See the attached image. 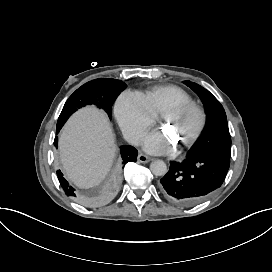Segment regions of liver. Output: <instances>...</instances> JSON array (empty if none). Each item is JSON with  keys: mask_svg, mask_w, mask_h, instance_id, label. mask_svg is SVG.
<instances>
[{"mask_svg": "<svg viewBox=\"0 0 272 272\" xmlns=\"http://www.w3.org/2000/svg\"><path fill=\"white\" fill-rule=\"evenodd\" d=\"M117 147L107 115L94 106L74 113L59 138L66 178L80 189L100 185L110 171Z\"/></svg>", "mask_w": 272, "mask_h": 272, "instance_id": "liver-1", "label": "liver"}]
</instances>
